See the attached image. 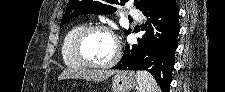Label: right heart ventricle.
<instances>
[{
  "instance_id": "1",
  "label": "right heart ventricle",
  "mask_w": 225,
  "mask_h": 92,
  "mask_svg": "<svg viewBox=\"0 0 225 92\" xmlns=\"http://www.w3.org/2000/svg\"><path fill=\"white\" fill-rule=\"evenodd\" d=\"M85 27L84 23H77L71 26L64 34L61 45V57L65 65L72 68H81L82 66L76 60L72 51V42L80 30Z\"/></svg>"
}]
</instances>
